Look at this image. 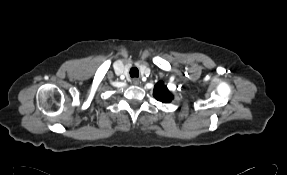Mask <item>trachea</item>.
Wrapping results in <instances>:
<instances>
[{
    "label": "trachea",
    "mask_w": 287,
    "mask_h": 175,
    "mask_svg": "<svg viewBox=\"0 0 287 175\" xmlns=\"http://www.w3.org/2000/svg\"><path fill=\"white\" fill-rule=\"evenodd\" d=\"M130 76L131 77H138L139 76V70L136 67H132L130 69Z\"/></svg>",
    "instance_id": "1"
}]
</instances>
